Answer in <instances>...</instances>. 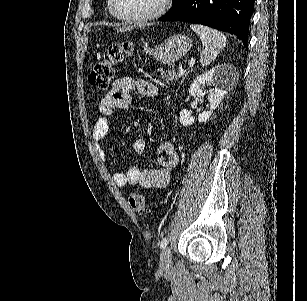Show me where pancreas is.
I'll list each match as a JSON object with an SVG mask.
<instances>
[{
    "label": "pancreas",
    "mask_w": 307,
    "mask_h": 301,
    "mask_svg": "<svg viewBox=\"0 0 307 301\" xmlns=\"http://www.w3.org/2000/svg\"><path fill=\"white\" fill-rule=\"evenodd\" d=\"M162 78L163 80H166V82H171V80H178L180 74L179 72H176L175 68H168V70H163Z\"/></svg>",
    "instance_id": "1"
}]
</instances>
